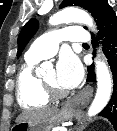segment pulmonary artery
<instances>
[{"instance_id": "pulmonary-artery-1", "label": "pulmonary artery", "mask_w": 117, "mask_h": 131, "mask_svg": "<svg viewBox=\"0 0 117 131\" xmlns=\"http://www.w3.org/2000/svg\"><path fill=\"white\" fill-rule=\"evenodd\" d=\"M90 34L81 26H70L48 32L37 38L26 52L27 59H47L55 55L63 41L87 43Z\"/></svg>"}]
</instances>
